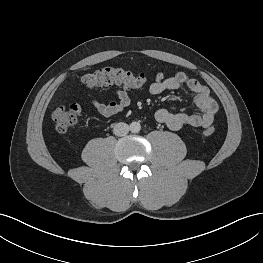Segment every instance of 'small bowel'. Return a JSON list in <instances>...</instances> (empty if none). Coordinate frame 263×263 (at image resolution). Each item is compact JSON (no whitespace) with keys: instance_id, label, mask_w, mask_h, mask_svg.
<instances>
[{"instance_id":"obj_1","label":"small bowel","mask_w":263,"mask_h":263,"mask_svg":"<svg viewBox=\"0 0 263 263\" xmlns=\"http://www.w3.org/2000/svg\"><path fill=\"white\" fill-rule=\"evenodd\" d=\"M186 87L195 94L194 102L199 109L197 114L173 113L165 108L158 109L155 113L157 122L177 131L185 126L208 128L214 121L218 106L211 97L209 89L198 80L184 72H177L167 77L165 72H158L154 81L149 86L152 95H158L166 90H177ZM117 101L104 103L99 99V90L92 93L90 103L97 113L104 117H111L121 113L130 103V97L125 89H115Z\"/></svg>"}]
</instances>
